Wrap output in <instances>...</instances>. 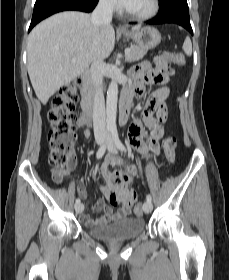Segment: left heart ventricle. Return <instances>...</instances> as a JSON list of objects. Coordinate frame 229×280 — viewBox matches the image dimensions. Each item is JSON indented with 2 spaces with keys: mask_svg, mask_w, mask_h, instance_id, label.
<instances>
[{
  "mask_svg": "<svg viewBox=\"0 0 229 280\" xmlns=\"http://www.w3.org/2000/svg\"><path fill=\"white\" fill-rule=\"evenodd\" d=\"M151 0H132L126 9L132 12H144L150 7Z\"/></svg>",
  "mask_w": 229,
  "mask_h": 280,
  "instance_id": "b2bd125f",
  "label": "left heart ventricle"
}]
</instances>
